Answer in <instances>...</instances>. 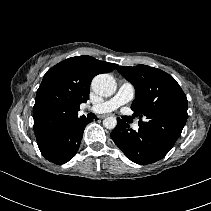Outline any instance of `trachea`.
I'll return each instance as SVG.
<instances>
[{
  "label": "trachea",
  "instance_id": "trachea-1",
  "mask_svg": "<svg viewBox=\"0 0 211 211\" xmlns=\"http://www.w3.org/2000/svg\"><path fill=\"white\" fill-rule=\"evenodd\" d=\"M88 117L91 118V119H93V118L95 117V115H94L93 113H90V114L88 115Z\"/></svg>",
  "mask_w": 211,
  "mask_h": 211
}]
</instances>
